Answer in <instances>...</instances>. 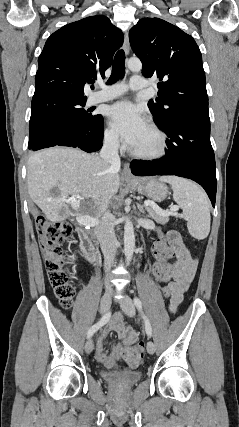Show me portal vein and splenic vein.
<instances>
[{"mask_svg": "<svg viewBox=\"0 0 239 427\" xmlns=\"http://www.w3.org/2000/svg\"><path fill=\"white\" fill-rule=\"evenodd\" d=\"M77 199H80V197H71L67 200V202L71 203V204H75V203L79 202V200H77ZM144 206L152 207L156 212H158L159 214H161L163 216H169V215L173 214V212H176L179 210L178 206H173L170 208V210H162L159 206H157L155 203L150 202V201H145ZM83 224L90 225V226H96L99 224V219L98 218H87L83 221Z\"/></svg>", "mask_w": 239, "mask_h": 427, "instance_id": "18ae733b", "label": "portal vein and splenic vein"}]
</instances>
